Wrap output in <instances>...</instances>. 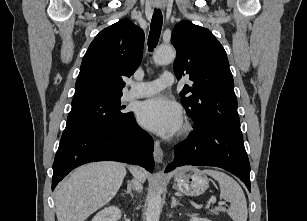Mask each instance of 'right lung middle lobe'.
I'll use <instances>...</instances> for the list:
<instances>
[{
  "label": "right lung middle lobe",
  "mask_w": 307,
  "mask_h": 221,
  "mask_svg": "<svg viewBox=\"0 0 307 221\" xmlns=\"http://www.w3.org/2000/svg\"><path fill=\"white\" fill-rule=\"evenodd\" d=\"M120 97L72 103V109L68 115L62 137L127 117L130 112L122 111L123 106H121Z\"/></svg>",
  "instance_id": "1"
}]
</instances>
